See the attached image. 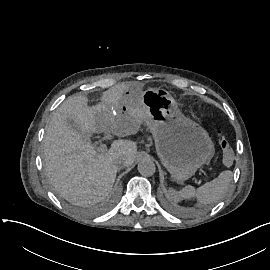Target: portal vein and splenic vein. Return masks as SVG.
<instances>
[{
  "instance_id": "1",
  "label": "portal vein and splenic vein",
  "mask_w": 270,
  "mask_h": 270,
  "mask_svg": "<svg viewBox=\"0 0 270 270\" xmlns=\"http://www.w3.org/2000/svg\"><path fill=\"white\" fill-rule=\"evenodd\" d=\"M107 150V145L105 143H101L99 146H98V151L100 153H104L105 151ZM202 176L205 177V179H207V181H211V178H208V176H206L205 173H202Z\"/></svg>"
}]
</instances>
